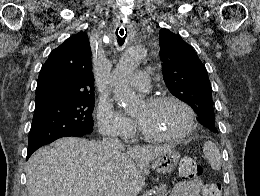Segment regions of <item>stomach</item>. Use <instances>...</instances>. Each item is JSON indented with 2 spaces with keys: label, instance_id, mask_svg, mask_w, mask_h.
<instances>
[{
  "label": "stomach",
  "instance_id": "stomach-1",
  "mask_svg": "<svg viewBox=\"0 0 260 196\" xmlns=\"http://www.w3.org/2000/svg\"><path fill=\"white\" fill-rule=\"evenodd\" d=\"M179 160V152H176L173 148H168L162 156H158V158L153 160L151 166L158 174H169V172L175 170Z\"/></svg>",
  "mask_w": 260,
  "mask_h": 196
}]
</instances>
